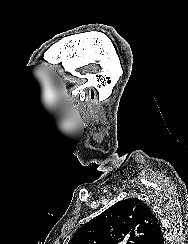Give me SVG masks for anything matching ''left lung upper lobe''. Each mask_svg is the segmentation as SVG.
Returning a JSON list of instances; mask_svg holds the SVG:
<instances>
[{
  "label": "left lung upper lobe",
  "mask_w": 188,
  "mask_h": 244,
  "mask_svg": "<svg viewBox=\"0 0 188 244\" xmlns=\"http://www.w3.org/2000/svg\"><path fill=\"white\" fill-rule=\"evenodd\" d=\"M158 222L147 204L129 198L82 226L68 244H147Z\"/></svg>",
  "instance_id": "1"
}]
</instances>
